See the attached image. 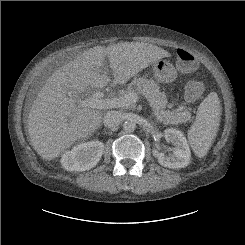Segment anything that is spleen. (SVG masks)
<instances>
[{
  "label": "spleen",
  "mask_w": 245,
  "mask_h": 245,
  "mask_svg": "<svg viewBox=\"0 0 245 245\" xmlns=\"http://www.w3.org/2000/svg\"><path fill=\"white\" fill-rule=\"evenodd\" d=\"M221 106L217 93L211 92L199 105L194 124L188 131V140L198 157L207 154L217 135Z\"/></svg>",
  "instance_id": "spleen-1"
}]
</instances>
